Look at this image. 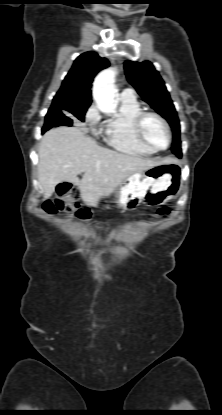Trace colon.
I'll use <instances>...</instances> for the list:
<instances>
[{"instance_id": "5ec220e1", "label": "colon", "mask_w": 222, "mask_h": 415, "mask_svg": "<svg viewBox=\"0 0 222 415\" xmlns=\"http://www.w3.org/2000/svg\"><path fill=\"white\" fill-rule=\"evenodd\" d=\"M56 198L48 201L45 204V209L49 213L57 212H69L74 213L80 218H86L89 212L77 204V192L76 189L70 183H61L57 186ZM158 215L167 214V209L160 208L157 212Z\"/></svg>"}]
</instances>
